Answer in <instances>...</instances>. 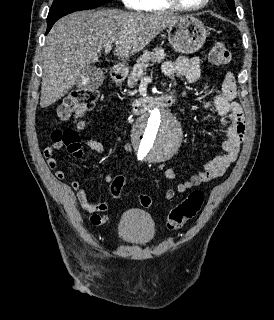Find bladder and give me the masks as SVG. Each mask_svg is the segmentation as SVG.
<instances>
[{
    "label": "bladder",
    "mask_w": 274,
    "mask_h": 320,
    "mask_svg": "<svg viewBox=\"0 0 274 320\" xmlns=\"http://www.w3.org/2000/svg\"><path fill=\"white\" fill-rule=\"evenodd\" d=\"M155 232L152 218L142 210L125 212L118 224V235L128 244H146L155 237Z\"/></svg>",
    "instance_id": "31cf9c89"
}]
</instances>
